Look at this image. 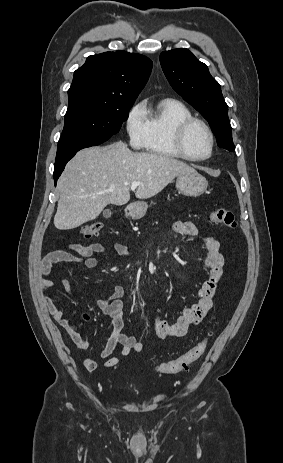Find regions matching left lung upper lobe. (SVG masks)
Masks as SVG:
<instances>
[{"instance_id":"obj_1","label":"left lung upper lobe","mask_w":283,"mask_h":463,"mask_svg":"<svg viewBox=\"0 0 283 463\" xmlns=\"http://www.w3.org/2000/svg\"><path fill=\"white\" fill-rule=\"evenodd\" d=\"M160 63L172 88L208 120L219 147L233 151L228 106L207 66L185 48L162 52Z\"/></svg>"}]
</instances>
